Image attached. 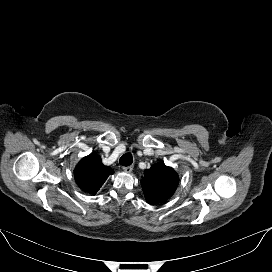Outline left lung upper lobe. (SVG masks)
Wrapping results in <instances>:
<instances>
[{"label":"left lung upper lobe","instance_id":"left-lung-upper-lobe-1","mask_svg":"<svg viewBox=\"0 0 272 272\" xmlns=\"http://www.w3.org/2000/svg\"><path fill=\"white\" fill-rule=\"evenodd\" d=\"M178 175L163 163L145 170L141 185L149 204H158L170 198L178 185Z\"/></svg>","mask_w":272,"mask_h":272}]
</instances>
